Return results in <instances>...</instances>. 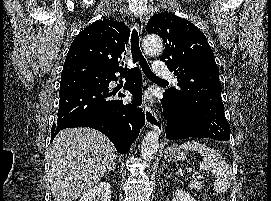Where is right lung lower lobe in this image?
Listing matches in <instances>:
<instances>
[{
	"mask_svg": "<svg viewBox=\"0 0 271 201\" xmlns=\"http://www.w3.org/2000/svg\"><path fill=\"white\" fill-rule=\"evenodd\" d=\"M127 76L124 89L134 99L130 103L109 100V83L115 73ZM142 76L139 68L111 70L80 60L64 63L59 91L57 122L51 128V140L60 130L90 127L104 133L121 154H126L144 126L145 115L140 107ZM118 96L124 97L119 93Z\"/></svg>",
	"mask_w": 271,
	"mask_h": 201,
	"instance_id": "right-lung-lower-lobe-1",
	"label": "right lung lower lobe"
}]
</instances>
